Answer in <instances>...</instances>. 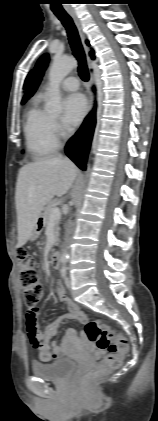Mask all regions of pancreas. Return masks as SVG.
<instances>
[{
    "label": "pancreas",
    "mask_w": 158,
    "mask_h": 421,
    "mask_svg": "<svg viewBox=\"0 0 158 421\" xmlns=\"http://www.w3.org/2000/svg\"><path fill=\"white\" fill-rule=\"evenodd\" d=\"M54 207H56V205L52 201V202H49L47 206L44 208V212H43L44 226H47L48 223L51 221L50 213ZM59 223H60V217L54 220V235H55L56 241L58 240V237H59Z\"/></svg>",
    "instance_id": "obj_1"
}]
</instances>
